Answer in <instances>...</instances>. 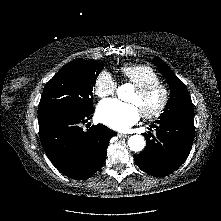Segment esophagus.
<instances>
[{"label":"esophagus","instance_id":"34e87169","mask_svg":"<svg viewBox=\"0 0 221 221\" xmlns=\"http://www.w3.org/2000/svg\"><path fill=\"white\" fill-rule=\"evenodd\" d=\"M118 137L119 138H127V137H129V135H127V134H118Z\"/></svg>","mask_w":221,"mask_h":221}]
</instances>
